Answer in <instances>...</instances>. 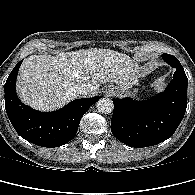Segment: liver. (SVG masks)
I'll return each mask as SVG.
<instances>
[{
	"label": "liver",
	"instance_id": "obj_1",
	"mask_svg": "<svg viewBox=\"0 0 195 195\" xmlns=\"http://www.w3.org/2000/svg\"><path fill=\"white\" fill-rule=\"evenodd\" d=\"M143 75L142 67L128 55L110 49L91 48L51 55H31L20 67L17 93L34 109L52 111L78 97L74 88L87 85L88 95L100 84L115 83L128 89Z\"/></svg>",
	"mask_w": 195,
	"mask_h": 195
}]
</instances>
